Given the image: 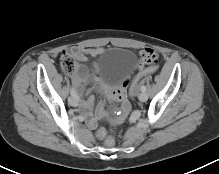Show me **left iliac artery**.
<instances>
[{
    "instance_id": "1",
    "label": "left iliac artery",
    "mask_w": 219,
    "mask_h": 174,
    "mask_svg": "<svg viewBox=\"0 0 219 174\" xmlns=\"http://www.w3.org/2000/svg\"><path fill=\"white\" fill-rule=\"evenodd\" d=\"M141 91H142V92H145V91H146V86H145V85L141 86Z\"/></svg>"
}]
</instances>
